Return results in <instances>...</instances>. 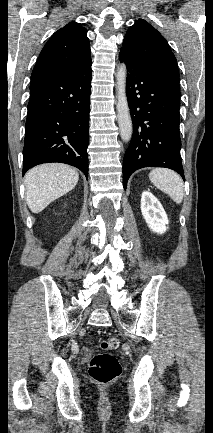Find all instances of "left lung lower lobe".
<instances>
[{"instance_id": "obj_1", "label": "left lung lower lobe", "mask_w": 213, "mask_h": 433, "mask_svg": "<svg viewBox=\"0 0 213 433\" xmlns=\"http://www.w3.org/2000/svg\"><path fill=\"white\" fill-rule=\"evenodd\" d=\"M127 66L126 94L133 120V137L123 160V186L143 167H166L185 180L180 148V90L144 71L120 53Z\"/></svg>"}]
</instances>
